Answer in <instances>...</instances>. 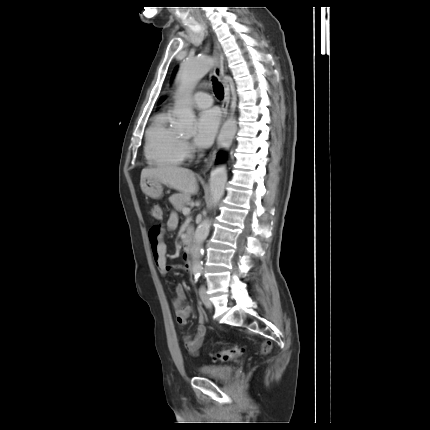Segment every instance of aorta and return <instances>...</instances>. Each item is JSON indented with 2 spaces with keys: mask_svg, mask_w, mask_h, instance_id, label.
Returning <instances> with one entry per match:
<instances>
[{
  "mask_svg": "<svg viewBox=\"0 0 430 430\" xmlns=\"http://www.w3.org/2000/svg\"><path fill=\"white\" fill-rule=\"evenodd\" d=\"M214 65L212 57H194L185 59L179 69V89L175 98L174 114L177 117L176 129L183 134H190L194 129L195 114L192 107L185 99L195 83L202 79ZM237 124L234 118H229L222 126L218 144L220 148L227 149L231 146L236 134ZM227 181V170L224 165H217L210 175V190L212 204L216 206L222 199ZM211 221L204 219L196 228L194 234V246L192 248V266L194 273L202 270L200 261L203 242L209 235Z\"/></svg>",
  "mask_w": 430,
  "mask_h": 430,
  "instance_id": "762f6f07",
  "label": "aorta"
}]
</instances>
